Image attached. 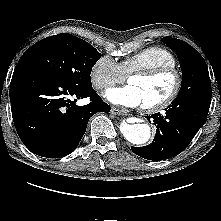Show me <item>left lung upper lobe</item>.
<instances>
[{
	"instance_id": "1",
	"label": "left lung upper lobe",
	"mask_w": 221,
	"mask_h": 221,
	"mask_svg": "<svg viewBox=\"0 0 221 221\" xmlns=\"http://www.w3.org/2000/svg\"><path fill=\"white\" fill-rule=\"evenodd\" d=\"M162 41L177 54L182 69V86L174 101L184 100L202 90L211 89L206 62L192 46L169 36Z\"/></svg>"
}]
</instances>
